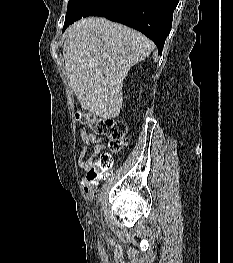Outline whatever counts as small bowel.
<instances>
[{
  "mask_svg": "<svg viewBox=\"0 0 233 263\" xmlns=\"http://www.w3.org/2000/svg\"><path fill=\"white\" fill-rule=\"evenodd\" d=\"M80 135L82 139V144L80 146L79 155H78V164L79 166L88 173L91 169L94 158L102 150L106 148L103 144V140L100 137H97L93 133L86 131L85 129L80 130ZM91 150V153L87 156L88 150ZM81 184L83 186L84 192L88 197H92L97 189V183L90 184L86 177L82 178Z\"/></svg>",
  "mask_w": 233,
  "mask_h": 263,
  "instance_id": "1",
  "label": "small bowel"
}]
</instances>
